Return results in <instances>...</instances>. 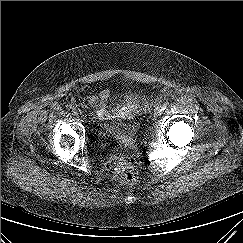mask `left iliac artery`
<instances>
[{"label": "left iliac artery", "mask_w": 243, "mask_h": 243, "mask_svg": "<svg viewBox=\"0 0 243 243\" xmlns=\"http://www.w3.org/2000/svg\"><path fill=\"white\" fill-rule=\"evenodd\" d=\"M167 103H164L162 106H161V110L163 111V110H165L166 109V107H167Z\"/></svg>", "instance_id": "1"}]
</instances>
